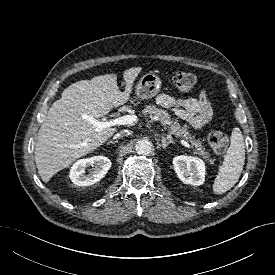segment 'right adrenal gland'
<instances>
[{
  "instance_id": "obj_1",
  "label": "right adrenal gland",
  "mask_w": 275,
  "mask_h": 275,
  "mask_svg": "<svg viewBox=\"0 0 275 275\" xmlns=\"http://www.w3.org/2000/svg\"><path fill=\"white\" fill-rule=\"evenodd\" d=\"M118 142H119V140H110V141L107 142V144H115V143H118Z\"/></svg>"
}]
</instances>
